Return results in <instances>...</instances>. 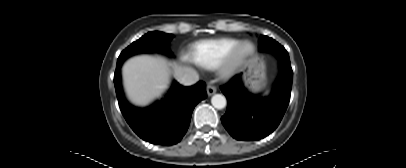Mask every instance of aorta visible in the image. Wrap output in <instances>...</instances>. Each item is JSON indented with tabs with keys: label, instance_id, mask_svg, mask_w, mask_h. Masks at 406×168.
I'll list each match as a JSON object with an SVG mask.
<instances>
[{
	"label": "aorta",
	"instance_id": "762f6f07",
	"mask_svg": "<svg viewBox=\"0 0 406 168\" xmlns=\"http://www.w3.org/2000/svg\"><path fill=\"white\" fill-rule=\"evenodd\" d=\"M211 103L216 109H223L226 106L227 101L225 96L221 94H215L211 98Z\"/></svg>",
	"mask_w": 406,
	"mask_h": 168
}]
</instances>
